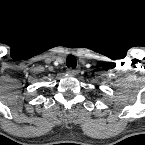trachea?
Returning <instances> with one entry per match:
<instances>
[{
    "mask_svg": "<svg viewBox=\"0 0 145 145\" xmlns=\"http://www.w3.org/2000/svg\"><path fill=\"white\" fill-rule=\"evenodd\" d=\"M66 65L68 68L75 69L77 65V60L73 55H69L66 59Z\"/></svg>",
    "mask_w": 145,
    "mask_h": 145,
    "instance_id": "obj_1",
    "label": "trachea"
}]
</instances>
